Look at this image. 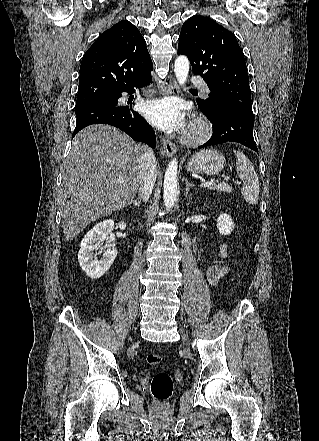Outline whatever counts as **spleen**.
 Returning a JSON list of instances; mask_svg holds the SVG:
<instances>
[{"instance_id":"spleen-1","label":"spleen","mask_w":319,"mask_h":441,"mask_svg":"<svg viewBox=\"0 0 319 441\" xmlns=\"http://www.w3.org/2000/svg\"><path fill=\"white\" fill-rule=\"evenodd\" d=\"M236 156V170L239 178L243 181L242 196L251 205L258 203L259 179L250 160L242 151L234 150Z\"/></svg>"}]
</instances>
